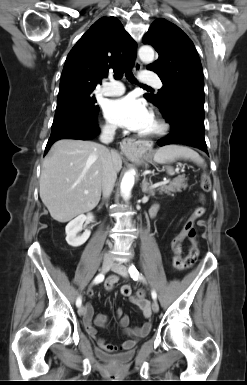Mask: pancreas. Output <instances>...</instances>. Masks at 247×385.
Masks as SVG:
<instances>
[{
	"instance_id": "cf45deb5",
	"label": "pancreas",
	"mask_w": 247,
	"mask_h": 385,
	"mask_svg": "<svg viewBox=\"0 0 247 385\" xmlns=\"http://www.w3.org/2000/svg\"><path fill=\"white\" fill-rule=\"evenodd\" d=\"M186 180L187 178H185V175H179L168 184L159 186L157 191H159L160 194L166 193L168 195H170L172 192H180L181 189L187 188L188 184Z\"/></svg>"
}]
</instances>
